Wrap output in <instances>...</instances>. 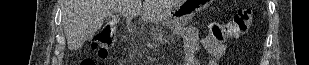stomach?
I'll return each instance as SVG.
<instances>
[{"label": "stomach", "mask_w": 309, "mask_h": 65, "mask_svg": "<svg viewBox=\"0 0 309 65\" xmlns=\"http://www.w3.org/2000/svg\"><path fill=\"white\" fill-rule=\"evenodd\" d=\"M210 0H182L176 6L160 14L146 16V21L168 26H183L186 21L209 5Z\"/></svg>", "instance_id": "obj_1"}]
</instances>
